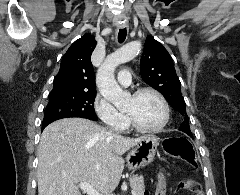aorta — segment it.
<instances>
[{
  "label": "aorta",
  "instance_id": "obj_1",
  "mask_svg": "<svg viewBox=\"0 0 240 195\" xmlns=\"http://www.w3.org/2000/svg\"><path fill=\"white\" fill-rule=\"evenodd\" d=\"M140 50V42H130V44H126L123 48H119L117 52L109 54L103 64H101L99 70H97L96 84L101 96L114 103L116 107H119V103L126 98V94L118 86L114 78V72L120 64H125V62L136 58Z\"/></svg>",
  "mask_w": 240,
  "mask_h": 195
}]
</instances>
